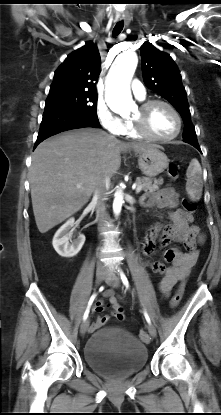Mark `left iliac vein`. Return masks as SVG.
<instances>
[{
	"label": "left iliac vein",
	"instance_id": "left-iliac-vein-1",
	"mask_svg": "<svg viewBox=\"0 0 221 415\" xmlns=\"http://www.w3.org/2000/svg\"><path fill=\"white\" fill-rule=\"evenodd\" d=\"M106 283H107L108 285H110V286L114 287V288H117V287H119V286H120V279H119L117 276H115L114 274L109 273V274L107 275V278H106ZM148 331H149V334H150L152 337H156L157 332H156L155 327H154L152 324H149V325H148Z\"/></svg>",
	"mask_w": 221,
	"mask_h": 415
}]
</instances>
